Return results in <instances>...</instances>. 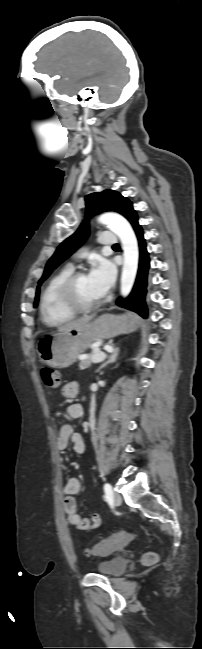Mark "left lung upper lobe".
Wrapping results in <instances>:
<instances>
[{
    "mask_svg": "<svg viewBox=\"0 0 202 649\" xmlns=\"http://www.w3.org/2000/svg\"><path fill=\"white\" fill-rule=\"evenodd\" d=\"M86 201V220L80 225L78 230L57 248L54 255L48 260L42 278L38 281L39 286L50 275V273L65 259H67L77 247H79L89 235L88 219L97 213L105 211H115L122 214L128 221L137 215L133 209L132 203L126 197L113 190L95 192L85 197ZM36 290L34 307L38 305L40 289Z\"/></svg>",
    "mask_w": 202,
    "mask_h": 649,
    "instance_id": "left-lung-upper-lobe-1",
    "label": "left lung upper lobe"
}]
</instances>
